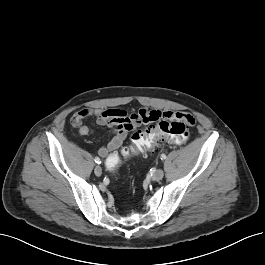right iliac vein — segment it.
<instances>
[{"label": "right iliac vein", "mask_w": 265, "mask_h": 265, "mask_svg": "<svg viewBox=\"0 0 265 265\" xmlns=\"http://www.w3.org/2000/svg\"><path fill=\"white\" fill-rule=\"evenodd\" d=\"M94 173L96 176H101L102 174V169L100 166H96L95 169H94Z\"/></svg>", "instance_id": "obj_1"}]
</instances>
